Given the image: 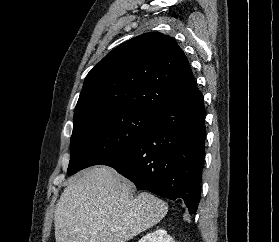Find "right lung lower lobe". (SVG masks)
<instances>
[{
  "label": "right lung lower lobe",
  "instance_id": "obj_1",
  "mask_svg": "<svg viewBox=\"0 0 279 242\" xmlns=\"http://www.w3.org/2000/svg\"><path fill=\"white\" fill-rule=\"evenodd\" d=\"M203 95L157 113L155 126L134 146L101 163L113 167L139 190L171 200L182 198L195 214L205 156Z\"/></svg>",
  "mask_w": 279,
  "mask_h": 242
}]
</instances>
